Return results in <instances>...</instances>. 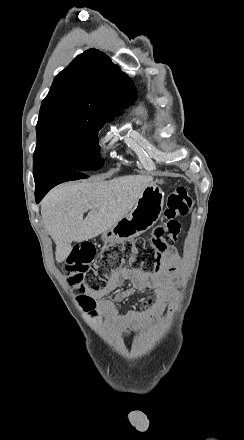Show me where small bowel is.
Listing matches in <instances>:
<instances>
[{
    "label": "small bowel",
    "mask_w": 244,
    "mask_h": 440,
    "mask_svg": "<svg viewBox=\"0 0 244 440\" xmlns=\"http://www.w3.org/2000/svg\"><path fill=\"white\" fill-rule=\"evenodd\" d=\"M162 264L163 270L154 274L144 273L132 267H123L115 270L109 276L108 281L103 288L98 291H87L84 295L80 296L79 299L80 301L82 299H94L98 313L101 314L105 321L115 329L125 333L136 331L141 326L143 320L139 319L134 312L118 314L114 307V303L121 302L134 293L147 289H157L161 297V304L169 300L171 292L168 288V283L180 264V257L174 247H170L163 254ZM125 283H130L131 287L129 289L118 291L113 300L105 298ZM159 311L160 306L156 309L155 313L158 314Z\"/></svg>",
    "instance_id": "obj_1"
}]
</instances>
